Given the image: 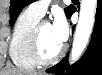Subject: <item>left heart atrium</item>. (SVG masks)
<instances>
[{
	"label": "left heart atrium",
	"mask_w": 102,
	"mask_h": 75,
	"mask_svg": "<svg viewBox=\"0 0 102 75\" xmlns=\"http://www.w3.org/2000/svg\"><path fill=\"white\" fill-rule=\"evenodd\" d=\"M52 28L55 32V35L59 43L63 45L64 42L67 40L69 34V27L64 15L58 14L55 17V20L52 24Z\"/></svg>",
	"instance_id": "left-heart-atrium-1"
}]
</instances>
